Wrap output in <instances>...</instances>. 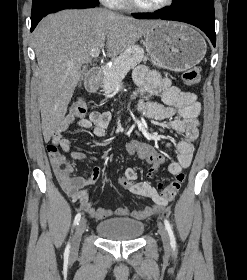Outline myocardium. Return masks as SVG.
<instances>
[{"label": "myocardium", "instance_id": "1", "mask_svg": "<svg viewBox=\"0 0 247 280\" xmlns=\"http://www.w3.org/2000/svg\"><path fill=\"white\" fill-rule=\"evenodd\" d=\"M128 2V4L139 11L142 12H158V11H162L168 7H170L174 0H164L162 3L157 4V5H153V6H145L140 4L137 0H126Z\"/></svg>", "mask_w": 247, "mask_h": 280}]
</instances>
